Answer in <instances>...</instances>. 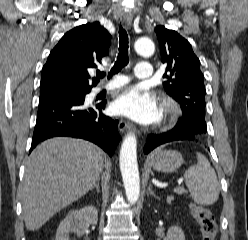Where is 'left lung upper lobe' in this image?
<instances>
[{"label":"left lung upper lobe","mask_w":248,"mask_h":240,"mask_svg":"<svg viewBox=\"0 0 248 240\" xmlns=\"http://www.w3.org/2000/svg\"><path fill=\"white\" fill-rule=\"evenodd\" d=\"M160 43L161 61L167 65L164 78L166 93L181 106L183 117L175 128L186 129L196 134L207 132L205 121L204 76L200 61L190 43L174 30L159 25L155 28Z\"/></svg>","instance_id":"1"}]
</instances>
